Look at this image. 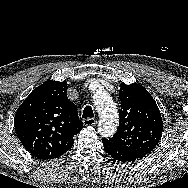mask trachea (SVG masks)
I'll return each instance as SVG.
<instances>
[{"mask_svg":"<svg viewBox=\"0 0 188 188\" xmlns=\"http://www.w3.org/2000/svg\"><path fill=\"white\" fill-rule=\"evenodd\" d=\"M94 117L93 109L91 106H86L83 110L82 118Z\"/></svg>","mask_w":188,"mask_h":188,"instance_id":"1","label":"trachea"}]
</instances>
